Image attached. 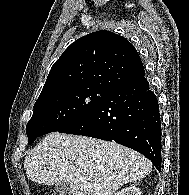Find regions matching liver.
<instances>
[{
  "label": "liver",
  "instance_id": "liver-1",
  "mask_svg": "<svg viewBox=\"0 0 189 195\" xmlns=\"http://www.w3.org/2000/svg\"><path fill=\"white\" fill-rule=\"evenodd\" d=\"M24 169L39 184L68 183L72 195H113L150 174L152 163L115 142L55 132L28 153Z\"/></svg>",
  "mask_w": 189,
  "mask_h": 195
}]
</instances>
